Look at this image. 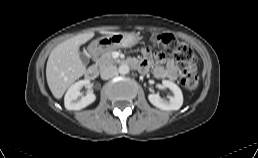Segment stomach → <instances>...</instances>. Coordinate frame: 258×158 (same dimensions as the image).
<instances>
[{"label": "stomach", "instance_id": "1", "mask_svg": "<svg viewBox=\"0 0 258 158\" xmlns=\"http://www.w3.org/2000/svg\"><path fill=\"white\" fill-rule=\"evenodd\" d=\"M139 40L140 36L136 33H116L94 40L90 47L94 53L100 54L116 48L134 46Z\"/></svg>", "mask_w": 258, "mask_h": 158}]
</instances>
